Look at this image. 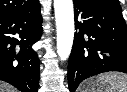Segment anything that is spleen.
Listing matches in <instances>:
<instances>
[{
	"instance_id": "spleen-1",
	"label": "spleen",
	"mask_w": 127,
	"mask_h": 92,
	"mask_svg": "<svg viewBox=\"0 0 127 92\" xmlns=\"http://www.w3.org/2000/svg\"><path fill=\"white\" fill-rule=\"evenodd\" d=\"M96 84L104 87L102 88L104 92H127V75L116 72L105 73L97 77Z\"/></svg>"
}]
</instances>
